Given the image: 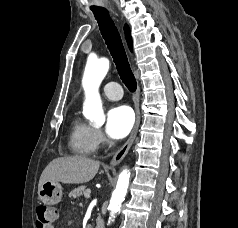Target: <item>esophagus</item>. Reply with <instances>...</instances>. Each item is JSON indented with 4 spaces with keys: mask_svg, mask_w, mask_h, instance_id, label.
I'll return each mask as SVG.
<instances>
[{
    "mask_svg": "<svg viewBox=\"0 0 238 228\" xmlns=\"http://www.w3.org/2000/svg\"><path fill=\"white\" fill-rule=\"evenodd\" d=\"M139 98H140V87L138 86L137 90L134 94V105H135V111H136V121H135L134 127L131 131L129 138L125 142V144L113 156V158L110 162L111 166H115L123 160V158L128 153V151L137 135V131H138L139 124H140Z\"/></svg>",
    "mask_w": 238,
    "mask_h": 228,
    "instance_id": "34e87169",
    "label": "esophagus"
}]
</instances>
